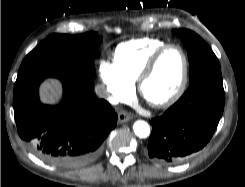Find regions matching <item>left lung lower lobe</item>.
<instances>
[{
	"mask_svg": "<svg viewBox=\"0 0 245 187\" xmlns=\"http://www.w3.org/2000/svg\"><path fill=\"white\" fill-rule=\"evenodd\" d=\"M224 103L220 70L197 78L172 107L151 120L148 157L158 164H175L202 149L219 123Z\"/></svg>",
	"mask_w": 245,
	"mask_h": 187,
	"instance_id": "1",
	"label": "left lung lower lobe"
}]
</instances>
